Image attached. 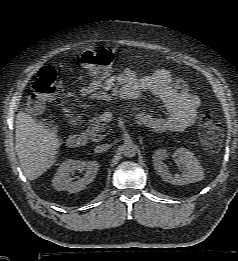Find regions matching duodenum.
<instances>
[{
    "label": "duodenum",
    "mask_w": 238,
    "mask_h": 261,
    "mask_svg": "<svg viewBox=\"0 0 238 261\" xmlns=\"http://www.w3.org/2000/svg\"><path fill=\"white\" fill-rule=\"evenodd\" d=\"M87 140H88L87 135L81 132V133L71 135L68 138L67 143L72 148H79L84 146L87 143Z\"/></svg>",
    "instance_id": "1"
}]
</instances>
